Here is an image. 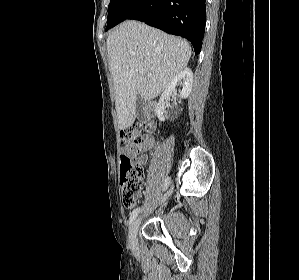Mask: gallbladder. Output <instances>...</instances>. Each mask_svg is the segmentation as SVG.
Segmentation results:
<instances>
[{
  "mask_svg": "<svg viewBox=\"0 0 299 280\" xmlns=\"http://www.w3.org/2000/svg\"><path fill=\"white\" fill-rule=\"evenodd\" d=\"M143 107L144 100L140 95H138L136 99V117L140 120L143 119Z\"/></svg>",
  "mask_w": 299,
  "mask_h": 280,
  "instance_id": "gallbladder-1",
  "label": "gallbladder"
}]
</instances>
